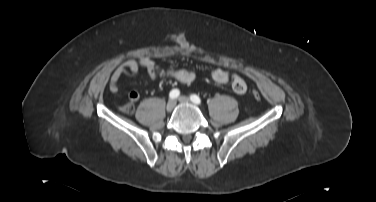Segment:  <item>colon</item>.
Listing matches in <instances>:
<instances>
[{
	"label": "colon",
	"instance_id": "obj_1",
	"mask_svg": "<svg viewBox=\"0 0 376 202\" xmlns=\"http://www.w3.org/2000/svg\"><path fill=\"white\" fill-rule=\"evenodd\" d=\"M254 98L259 100L260 99V94L258 92H254ZM124 112L127 113V114H131L134 110V107L131 103H128L124 106L123 108Z\"/></svg>",
	"mask_w": 376,
	"mask_h": 202
}]
</instances>
